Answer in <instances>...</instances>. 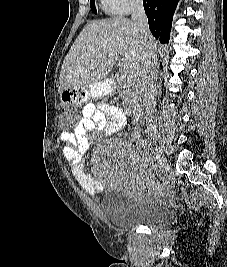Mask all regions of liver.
Instances as JSON below:
<instances>
[{"mask_svg":"<svg viewBox=\"0 0 227 267\" xmlns=\"http://www.w3.org/2000/svg\"><path fill=\"white\" fill-rule=\"evenodd\" d=\"M149 44L157 49L151 35ZM139 77L144 60V45L133 21L116 17L87 24L62 64L59 91L63 87H85L106 79L115 62Z\"/></svg>","mask_w":227,"mask_h":267,"instance_id":"6515ba94","label":"liver"}]
</instances>
